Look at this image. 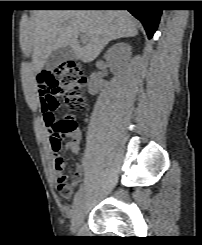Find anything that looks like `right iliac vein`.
Returning <instances> with one entry per match:
<instances>
[{"instance_id": "right-iliac-vein-1", "label": "right iliac vein", "mask_w": 202, "mask_h": 245, "mask_svg": "<svg viewBox=\"0 0 202 245\" xmlns=\"http://www.w3.org/2000/svg\"><path fill=\"white\" fill-rule=\"evenodd\" d=\"M85 215V206L81 201L73 210L72 220H71V228L73 232H77L83 218Z\"/></svg>"}]
</instances>
